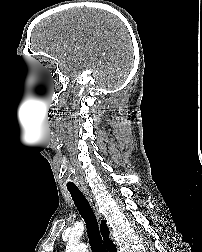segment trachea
<instances>
[{
    "mask_svg": "<svg viewBox=\"0 0 202 252\" xmlns=\"http://www.w3.org/2000/svg\"><path fill=\"white\" fill-rule=\"evenodd\" d=\"M68 191L72 196L77 210L85 221L92 252H106L96 216L88 200L78 188L68 187Z\"/></svg>",
    "mask_w": 202,
    "mask_h": 252,
    "instance_id": "obj_1",
    "label": "trachea"
}]
</instances>
